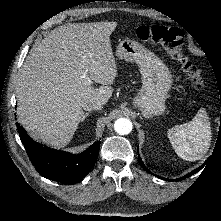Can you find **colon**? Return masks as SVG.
<instances>
[{
  "mask_svg": "<svg viewBox=\"0 0 221 221\" xmlns=\"http://www.w3.org/2000/svg\"><path fill=\"white\" fill-rule=\"evenodd\" d=\"M136 36L142 41L161 45L179 63L192 87L197 91L204 88L200 68L184 52L180 30L166 25H142L136 29Z\"/></svg>",
  "mask_w": 221,
  "mask_h": 221,
  "instance_id": "colon-1",
  "label": "colon"
}]
</instances>
